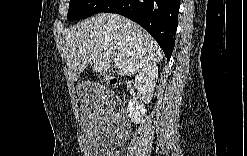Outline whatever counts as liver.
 <instances>
[{
  "instance_id": "obj_1",
  "label": "liver",
  "mask_w": 247,
  "mask_h": 156,
  "mask_svg": "<svg viewBox=\"0 0 247 156\" xmlns=\"http://www.w3.org/2000/svg\"><path fill=\"white\" fill-rule=\"evenodd\" d=\"M65 42L72 81H77L91 60L94 72H107L114 60L118 75L131 76L163 59L162 49L147 31L113 13H100L70 27Z\"/></svg>"
}]
</instances>
